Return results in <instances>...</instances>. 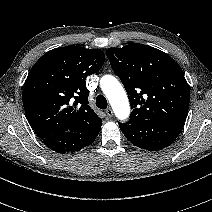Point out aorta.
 Returning a JSON list of instances; mask_svg holds the SVG:
<instances>
[{
  "instance_id": "obj_1",
  "label": "aorta",
  "mask_w": 212,
  "mask_h": 212,
  "mask_svg": "<svg viewBox=\"0 0 212 212\" xmlns=\"http://www.w3.org/2000/svg\"><path fill=\"white\" fill-rule=\"evenodd\" d=\"M100 87L107 97L116 117L119 120H126L130 114V104L120 82L112 75H104L100 79Z\"/></svg>"
}]
</instances>
